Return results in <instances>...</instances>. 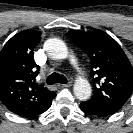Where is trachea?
Segmentation results:
<instances>
[{"mask_svg": "<svg viewBox=\"0 0 133 133\" xmlns=\"http://www.w3.org/2000/svg\"><path fill=\"white\" fill-rule=\"evenodd\" d=\"M67 83V78L64 75L53 73L48 76L47 78V84H55V83Z\"/></svg>", "mask_w": 133, "mask_h": 133, "instance_id": "1", "label": "trachea"}]
</instances>
